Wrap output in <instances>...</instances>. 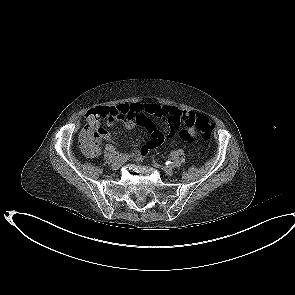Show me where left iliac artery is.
<instances>
[{
    "mask_svg": "<svg viewBox=\"0 0 295 295\" xmlns=\"http://www.w3.org/2000/svg\"><path fill=\"white\" fill-rule=\"evenodd\" d=\"M168 167H173V162L171 161H166L165 163Z\"/></svg>",
    "mask_w": 295,
    "mask_h": 295,
    "instance_id": "left-iliac-artery-1",
    "label": "left iliac artery"
}]
</instances>
